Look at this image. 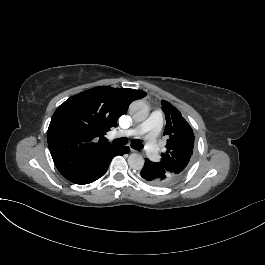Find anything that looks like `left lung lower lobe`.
I'll return each mask as SVG.
<instances>
[{
	"label": "left lung lower lobe",
	"instance_id": "1",
	"mask_svg": "<svg viewBox=\"0 0 265 265\" xmlns=\"http://www.w3.org/2000/svg\"><path fill=\"white\" fill-rule=\"evenodd\" d=\"M140 176L145 182L155 186H166L175 182L160 164L152 162L148 158L145 159Z\"/></svg>",
	"mask_w": 265,
	"mask_h": 265
}]
</instances>
